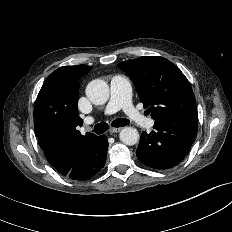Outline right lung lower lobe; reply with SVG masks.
I'll use <instances>...</instances> for the list:
<instances>
[{"instance_id": "1", "label": "right lung lower lobe", "mask_w": 232, "mask_h": 232, "mask_svg": "<svg viewBox=\"0 0 232 232\" xmlns=\"http://www.w3.org/2000/svg\"><path fill=\"white\" fill-rule=\"evenodd\" d=\"M108 140L105 135L97 136L80 148L72 168L63 175L72 180L84 181L97 174L105 165Z\"/></svg>"}]
</instances>
